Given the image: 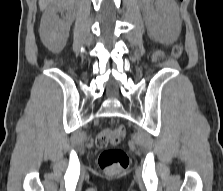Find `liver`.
<instances>
[{"instance_id":"6515ba94","label":"liver","mask_w":223,"mask_h":191,"mask_svg":"<svg viewBox=\"0 0 223 191\" xmlns=\"http://www.w3.org/2000/svg\"><path fill=\"white\" fill-rule=\"evenodd\" d=\"M53 0H39L40 10L43 11Z\"/></svg>"}]
</instances>
